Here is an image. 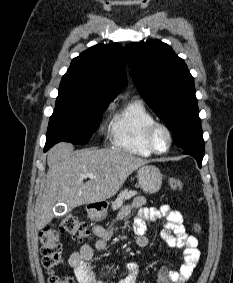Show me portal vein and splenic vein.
Listing matches in <instances>:
<instances>
[{"label": "portal vein and splenic vein", "mask_w": 233, "mask_h": 283, "mask_svg": "<svg viewBox=\"0 0 233 283\" xmlns=\"http://www.w3.org/2000/svg\"><path fill=\"white\" fill-rule=\"evenodd\" d=\"M83 177L84 178H90V179H94L95 178V176H94V174H92V173H87V174H85V175H83Z\"/></svg>", "instance_id": "1"}]
</instances>
